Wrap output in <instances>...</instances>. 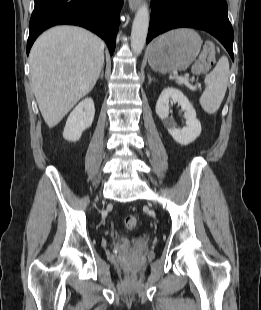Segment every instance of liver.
Here are the masks:
<instances>
[{"instance_id":"1","label":"liver","mask_w":261,"mask_h":310,"mask_svg":"<svg viewBox=\"0 0 261 310\" xmlns=\"http://www.w3.org/2000/svg\"><path fill=\"white\" fill-rule=\"evenodd\" d=\"M31 83L49 128L95 86L104 65V42L76 26H56L35 41L29 55Z\"/></svg>"}]
</instances>
